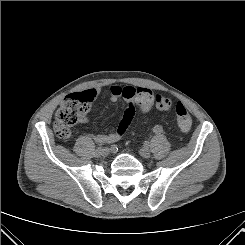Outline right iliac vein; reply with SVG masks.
<instances>
[{"instance_id": "63e3f726", "label": "right iliac vein", "mask_w": 245, "mask_h": 245, "mask_svg": "<svg viewBox=\"0 0 245 245\" xmlns=\"http://www.w3.org/2000/svg\"><path fill=\"white\" fill-rule=\"evenodd\" d=\"M108 154H109V151H108V153L105 154V153H103L102 149H100L98 154H97V157H100V156L106 157Z\"/></svg>"}]
</instances>
